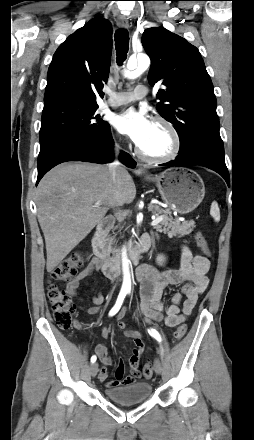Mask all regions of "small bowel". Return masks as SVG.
<instances>
[{"label":"small bowel","instance_id":"obj_1","mask_svg":"<svg viewBox=\"0 0 254 440\" xmlns=\"http://www.w3.org/2000/svg\"><path fill=\"white\" fill-rule=\"evenodd\" d=\"M143 236L142 238H144ZM101 268L100 261L97 258L92 259L87 266L75 277L66 283V292L69 296L77 295L80 284L91 277ZM209 269V260L200 255H193L187 246L181 247L180 266L176 269L158 271L150 266H141L136 272V280L140 287V302L138 304V313L145 323L163 322L168 327H175L186 321L195 307L199 296L208 288L209 280L207 272ZM168 285H181V290L175 293L171 302H163V292ZM182 298H185L180 306ZM104 297L101 292L92 295V302L95 306L84 309L88 314H98L102 310ZM125 311H122L119 317H123ZM118 327L124 330V334L133 341L132 354L129 358V367L131 375L124 378L125 368L120 361L116 371L115 378L107 381V388L118 387L134 383L140 377V360L144 351L143 337L132 330L126 329V325L119 321ZM102 336L107 338L109 330L102 327ZM95 351L103 365L100 370L99 378L105 381L108 377L107 366L112 364L111 357L107 354V348L99 343Z\"/></svg>","mask_w":254,"mask_h":440}]
</instances>
